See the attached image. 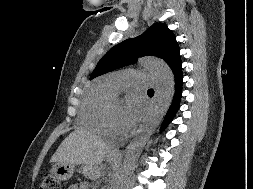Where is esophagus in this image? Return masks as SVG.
I'll list each match as a JSON object with an SVG mask.
<instances>
[{
    "label": "esophagus",
    "mask_w": 253,
    "mask_h": 189,
    "mask_svg": "<svg viewBox=\"0 0 253 189\" xmlns=\"http://www.w3.org/2000/svg\"><path fill=\"white\" fill-rule=\"evenodd\" d=\"M112 154L121 155V150L119 148H115V149L112 150Z\"/></svg>",
    "instance_id": "esophagus-1"
}]
</instances>
